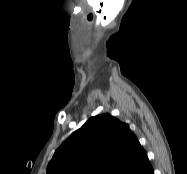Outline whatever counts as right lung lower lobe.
<instances>
[{"mask_svg": "<svg viewBox=\"0 0 187 174\" xmlns=\"http://www.w3.org/2000/svg\"><path fill=\"white\" fill-rule=\"evenodd\" d=\"M148 174H154L153 170H152V172H150V173H148Z\"/></svg>", "mask_w": 187, "mask_h": 174, "instance_id": "1", "label": "right lung lower lobe"}]
</instances>
